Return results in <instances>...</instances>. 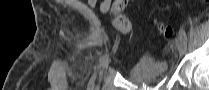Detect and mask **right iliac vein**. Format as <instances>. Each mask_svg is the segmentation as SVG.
<instances>
[{
    "instance_id": "1",
    "label": "right iliac vein",
    "mask_w": 209,
    "mask_h": 90,
    "mask_svg": "<svg viewBox=\"0 0 209 90\" xmlns=\"http://www.w3.org/2000/svg\"><path fill=\"white\" fill-rule=\"evenodd\" d=\"M108 64H109V61L107 59L105 62L102 63V69L104 70L108 66ZM97 89H99V87H97Z\"/></svg>"
}]
</instances>
